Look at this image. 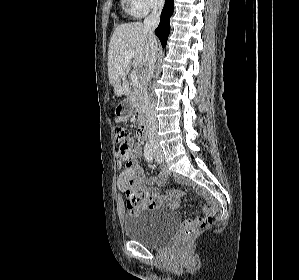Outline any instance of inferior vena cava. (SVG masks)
Masks as SVG:
<instances>
[{
    "label": "inferior vena cava",
    "mask_w": 299,
    "mask_h": 280,
    "mask_svg": "<svg viewBox=\"0 0 299 280\" xmlns=\"http://www.w3.org/2000/svg\"><path fill=\"white\" fill-rule=\"evenodd\" d=\"M164 5V0H155L152 13L144 19L143 27L144 32L147 33L150 52L148 57V71H147V82L150 81L155 67L157 58V43L154 35V30L157 28L160 22V14ZM145 116H146V132L150 143H157V121L155 116L154 104L150 97H145Z\"/></svg>",
    "instance_id": "inferior-vena-cava-1"
}]
</instances>
